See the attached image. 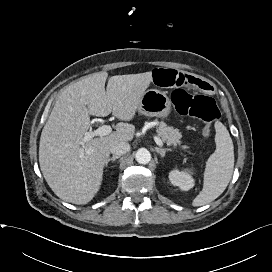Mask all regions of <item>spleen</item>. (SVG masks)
I'll use <instances>...</instances> for the list:
<instances>
[{"label": "spleen", "mask_w": 272, "mask_h": 272, "mask_svg": "<svg viewBox=\"0 0 272 272\" xmlns=\"http://www.w3.org/2000/svg\"><path fill=\"white\" fill-rule=\"evenodd\" d=\"M216 150L208 158L204 172L203 189L193 200V206H203L217 199L229 184L234 169V147L227 128L214 124Z\"/></svg>", "instance_id": "spleen-1"}]
</instances>
